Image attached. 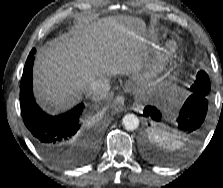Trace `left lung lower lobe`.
I'll return each instance as SVG.
<instances>
[{"label":"left lung lower lobe","instance_id":"0a47b994","mask_svg":"<svg viewBox=\"0 0 223 188\" xmlns=\"http://www.w3.org/2000/svg\"><path fill=\"white\" fill-rule=\"evenodd\" d=\"M208 109V98L191 94L180 110L177 118L178 126L172 134L185 140L187 145H192L194 140L200 135ZM143 116L147 119V127L159 126L161 120L159 109L153 105L144 108Z\"/></svg>","mask_w":223,"mask_h":188}]
</instances>
